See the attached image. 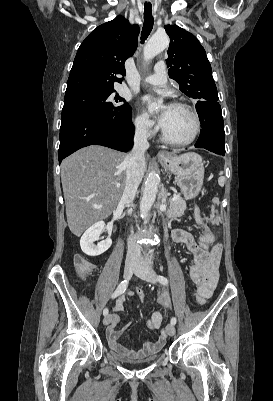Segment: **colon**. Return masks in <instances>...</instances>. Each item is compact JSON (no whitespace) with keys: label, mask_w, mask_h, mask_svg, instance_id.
<instances>
[{"label":"colon","mask_w":273,"mask_h":401,"mask_svg":"<svg viewBox=\"0 0 273 401\" xmlns=\"http://www.w3.org/2000/svg\"><path fill=\"white\" fill-rule=\"evenodd\" d=\"M217 199H213V204H217ZM75 264H76V270L75 273L77 276H88L91 274V270L95 269V262L94 261H88L87 257H77L75 259ZM191 281L193 282H205L207 279V276L205 273H193L190 276ZM137 300L140 304H143L146 299V292L144 291V288L139 286L137 288Z\"/></svg>","instance_id":"5ec220e1"}]
</instances>
